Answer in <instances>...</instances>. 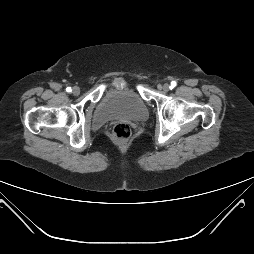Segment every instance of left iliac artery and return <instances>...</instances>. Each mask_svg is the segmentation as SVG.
Returning <instances> with one entry per match:
<instances>
[{"label": "left iliac artery", "mask_w": 254, "mask_h": 254, "mask_svg": "<svg viewBox=\"0 0 254 254\" xmlns=\"http://www.w3.org/2000/svg\"><path fill=\"white\" fill-rule=\"evenodd\" d=\"M176 85H177L176 82H175V81H172V82H171V85H170V89L174 88Z\"/></svg>", "instance_id": "1"}]
</instances>
